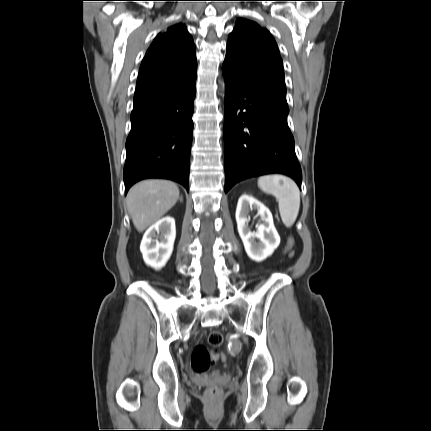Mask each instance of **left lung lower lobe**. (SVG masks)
I'll use <instances>...</instances> for the list:
<instances>
[{"instance_id":"left-lung-lower-lobe-1","label":"left lung lower lobe","mask_w":431,"mask_h":431,"mask_svg":"<svg viewBox=\"0 0 431 431\" xmlns=\"http://www.w3.org/2000/svg\"><path fill=\"white\" fill-rule=\"evenodd\" d=\"M224 75L225 192L239 181L272 173L293 178L301 189L287 103Z\"/></svg>"}]
</instances>
